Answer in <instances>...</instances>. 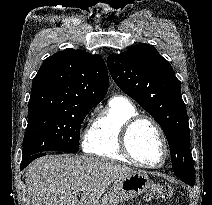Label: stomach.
Here are the masks:
<instances>
[{
	"label": "stomach",
	"instance_id": "0dacf381",
	"mask_svg": "<svg viewBox=\"0 0 212 205\" xmlns=\"http://www.w3.org/2000/svg\"><path fill=\"white\" fill-rule=\"evenodd\" d=\"M151 179L143 172L133 171L117 179L98 205H118L144 193L151 185Z\"/></svg>",
	"mask_w": 212,
	"mask_h": 205
}]
</instances>
